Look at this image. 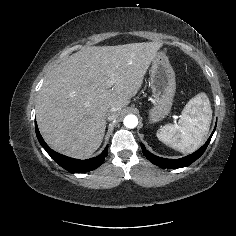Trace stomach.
I'll return each instance as SVG.
<instances>
[{
  "mask_svg": "<svg viewBox=\"0 0 236 236\" xmlns=\"http://www.w3.org/2000/svg\"><path fill=\"white\" fill-rule=\"evenodd\" d=\"M150 86L154 99L149 109V122L164 119L171 111L176 92L175 72L164 52H158L152 61Z\"/></svg>",
  "mask_w": 236,
  "mask_h": 236,
  "instance_id": "obj_1",
  "label": "stomach"
}]
</instances>
